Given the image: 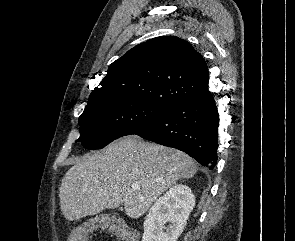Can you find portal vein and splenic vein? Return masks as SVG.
Masks as SVG:
<instances>
[{
  "instance_id": "portal-vein-and-splenic-vein-1",
  "label": "portal vein and splenic vein",
  "mask_w": 295,
  "mask_h": 241,
  "mask_svg": "<svg viewBox=\"0 0 295 241\" xmlns=\"http://www.w3.org/2000/svg\"><path fill=\"white\" fill-rule=\"evenodd\" d=\"M131 188H132L133 190H136V189L139 188V185H138V184H133V185L131 186Z\"/></svg>"
}]
</instances>
